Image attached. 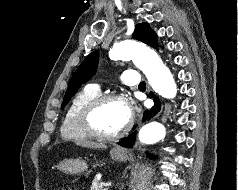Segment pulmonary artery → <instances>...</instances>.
Segmentation results:
<instances>
[{
	"mask_svg": "<svg viewBox=\"0 0 238 190\" xmlns=\"http://www.w3.org/2000/svg\"><path fill=\"white\" fill-rule=\"evenodd\" d=\"M121 81L127 86H137L140 83L139 74L134 70H126L121 74ZM90 87L99 91L98 85H91Z\"/></svg>",
	"mask_w": 238,
	"mask_h": 190,
	"instance_id": "e3ab8cb5",
	"label": "pulmonary artery"
}]
</instances>
